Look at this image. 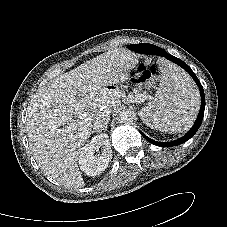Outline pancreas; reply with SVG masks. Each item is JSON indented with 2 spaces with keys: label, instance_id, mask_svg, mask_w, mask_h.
I'll return each instance as SVG.
<instances>
[{
  "label": "pancreas",
  "instance_id": "1",
  "mask_svg": "<svg viewBox=\"0 0 227 227\" xmlns=\"http://www.w3.org/2000/svg\"><path fill=\"white\" fill-rule=\"evenodd\" d=\"M133 93H134V96L141 95V98H142V96H145L144 93L140 94L138 89H134Z\"/></svg>",
  "mask_w": 227,
  "mask_h": 227
}]
</instances>
